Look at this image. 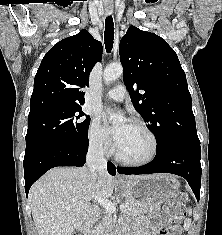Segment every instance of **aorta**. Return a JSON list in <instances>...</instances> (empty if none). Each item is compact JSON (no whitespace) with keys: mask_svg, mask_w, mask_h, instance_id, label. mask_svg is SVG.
<instances>
[{"mask_svg":"<svg viewBox=\"0 0 222 235\" xmlns=\"http://www.w3.org/2000/svg\"><path fill=\"white\" fill-rule=\"evenodd\" d=\"M123 74V67L121 64H110L104 69L103 79L106 84H109L118 79ZM110 120L113 123L122 120V116H111Z\"/></svg>","mask_w":222,"mask_h":235,"instance_id":"762f6f07","label":"aorta"}]
</instances>
